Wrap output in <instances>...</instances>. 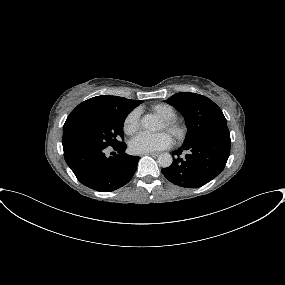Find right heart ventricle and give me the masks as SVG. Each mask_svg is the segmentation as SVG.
Wrapping results in <instances>:
<instances>
[{
	"instance_id": "right-heart-ventricle-1",
	"label": "right heart ventricle",
	"mask_w": 285,
	"mask_h": 285,
	"mask_svg": "<svg viewBox=\"0 0 285 285\" xmlns=\"http://www.w3.org/2000/svg\"><path fill=\"white\" fill-rule=\"evenodd\" d=\"M150 110L160 119L173 118L176 116V110L169 104L158 103L150 107Z\"/></svg>"
}]
</instances>
